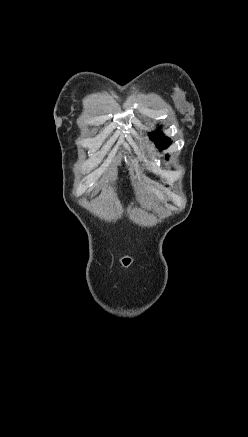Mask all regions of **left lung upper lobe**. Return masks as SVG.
<instances>
[{"label": "left lung upper lobe", "mask_w": 248, "mask_h": 437, "mask_svg": "<svg viewBox=\"0 0 248 437\" xmlns=\"http://www.w3.org/2000/svg\"><path fill=\"white\" fill-rule=\"evenodd\" d=\"M150 138L155 141V144L160 149H165L171 144L170 139L160 132L150 133Z\"/></svg>", "instance_id": "1"}]
</instances>
